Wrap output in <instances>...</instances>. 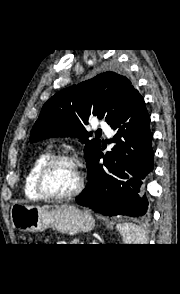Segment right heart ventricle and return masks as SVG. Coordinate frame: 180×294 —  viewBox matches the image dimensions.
Returning a JSON list of instances; mask_svg holds the SVG:
<instances>
[{"instance_id":"e07e8e85","label":"right heart ventricle","mask_w":180,"mask_h":294,"mask_svg":"<svg viewBox=\"0 0 180 294\" xmlns=\"http://www.w3.org/2000/svg\"><path fill=\"white\" fill-rule=\"evenodd\" d=\"M51 157V153L46 151L41 153L39 156L35 158L33 161L29 171L27 172L24 180V193L27 197L35 198V199H42L39 193L36 190L35 180L36 174L41 165Z\"/></svg>"}]
</instances>
